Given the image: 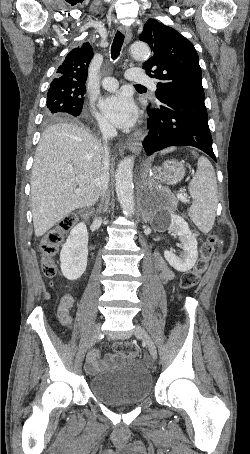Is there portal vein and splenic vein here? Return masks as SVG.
Listing matches in <instances>:
<instances>
[{"label": "portal vein and splenic vein", "instance_id": "obj_1", "mask_svg": "<svg viewBox=\"0 0 250 454\" xmlns=\"http://www.w3.org/2000/svg\"><path fill=\"white\" fill-rule=\"evenodd\" d=\"M80 191H81L80 189H76L75 192H76V193H79ZM177 198H178L180 201L184 202V203L189 202V199H188L186 196L182 195V194H177Z\"/></svg>", "mask_w": 250, "mask_h": 454}]
</instances>
